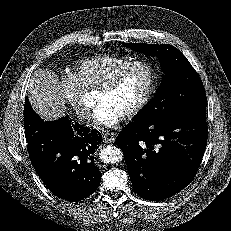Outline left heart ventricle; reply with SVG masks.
Segmentation results:
<instances>
[{
  "label": "left heart ventricle",
  "instance_id": "b2bd125f",
  "mask_svg": "<svg viewBox=\"0 0 231 231\" xmlns=\"http://www.w3.org/2000/svg\"><path fill=\"white\" fill-rule=\"evenodd\" d=\"M149 84V72L144 66L129 70L118 86L110 93H99L98 102H106L122 116L129 112L143 97Z\"/></svg>",
  "mask_w": 231,
  "mask_h": 231
}]
</instances>
